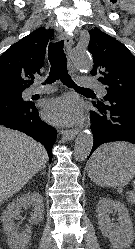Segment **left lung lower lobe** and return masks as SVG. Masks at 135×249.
<instances>
[{"label": "left lung lower lobe", "instance_id": "left-lung-lower-lobe-1", "mask_svg": "<svg viewBox=\"0 0 135 249\" xmlns=\"http://www.w3.org/2000/svg\"><path fill=\"white\" fill-rule=\"evenodd\" d=\"M92 103L95 107L91 112L94 143L90 155L107 142L128 141L135 144V99L112 96L105 102L95 100Z\"/></svg>", "mask_w": 135, "mask_h": 249}]
</instances>
